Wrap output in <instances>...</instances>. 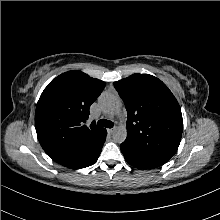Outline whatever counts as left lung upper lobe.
Returning <instances> with one entry per match:
<instances>
[{"instance_id": "obj_1", "label": "left lung upper lobe", "mask_w": 220, "mask_h": 220, "mask_svg": "<svg viewBox=\"0 0 220 220\" xmlns=\"http://www.w3.org/2000/svg\"><path fill=\"white\" fill-rule=\"evenodd\" d=\"M127 110V138L124 143L145 153L169 161L182 136L180 106L158 78L133 74L114 82Z\"/></svg>"}]
</instances>
